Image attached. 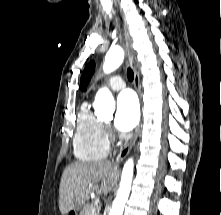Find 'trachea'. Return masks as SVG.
<instances>
[{"label":"trachea","mask_w":221,"mask_h":215,"mask_svg":"<svg viewBox=\"0 0 221 215\" xmlns=\"http://www.w3.org/2000/svg\"><path fill=\"white\" fill-rule=\"evenodd\" d=\"M127 77H128V80H129V81H133V79H134V73H133V71H132L131 68H128V70H127Z\"/></svg>","instance_id":"3493384b"}]
</instances>
